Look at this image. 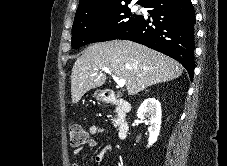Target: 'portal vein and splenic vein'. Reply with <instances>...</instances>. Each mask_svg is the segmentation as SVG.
<instances>
[{"label": "portal vein and splenic vein", "mask_w": 227, "mask_h": 166, "mask_svg": "<svg viewBox=\"0 0 227 166\" xmlns=\"http://www.w3.org/2000/svg\"><path fill=\"white\" fill-rule=\"evenodd\" d=\"M102 71L108 73V74H112L111 71L108 68H102ZM112 78L113 80L117 83V87L118 88H123L125 85V80L124 79H119L117 76L112 74Z\"/></svg>", "instance_id": "obj_1"}]
</instances>
